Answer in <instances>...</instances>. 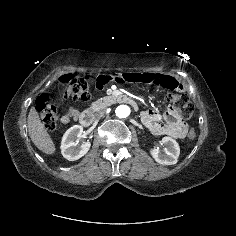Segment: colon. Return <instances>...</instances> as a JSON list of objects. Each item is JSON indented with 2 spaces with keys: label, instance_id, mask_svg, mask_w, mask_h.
Masks as SVG:
<instances>
[{
  "label": "colon",
  "instance_id": "1",
  "mask_svg": "<svg viewBox=\"0 0 236 236\" xmlns=\"http://www.w3.org/2000/svg\"><path fill=\"white\" fill-rule=\"evenodd\" d=\"M91 82L87 77L68 76L64 80L63 98L65 100H86L90 97ZM168 101L172 104L175 110L179 111L180 116L184 120H190L194 116V105L190 102L186 94H171ZM36 110L39 113L44 126L48 130L55 129L58 119L59 110L49 101L47 95L38 98L36 102ZM196 130L190 128L188 138L194 139Z\"/></svg>",
  "mask_w": 236,
  "mask_h": 236
}]
</instances>
